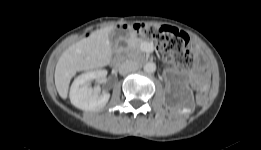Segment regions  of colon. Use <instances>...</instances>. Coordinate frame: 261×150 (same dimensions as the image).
Returning <instances> with one entry per match:
<instances>
[{"instance_id": "obj_1", "label": "colon", "mask_w": 261, "mask_h": 150, "mask_svg": "<svg viewBox=\"0 0 261 150\" xmlns=\"http://www.w3.org/2000/svg\"><path fill=\"white\" fill-rule=\"evenodd\" d=\"M132 29L145 38L153 39L173 67L187 69L192 59L187 49L189 38L183 31L171 26H155L147 23L135 24Z\"/></svg>"}]
</instances>
